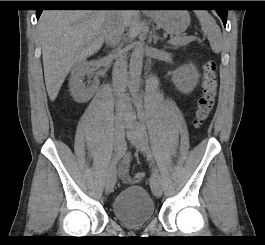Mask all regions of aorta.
<instances>
[{
  "label": "aorta",
  "mask_w": 265,
  "mask_h": 245,
  "mask_svg": "<svg viewBox=\"0 0 265 245\" xmlns=\"http://www.w3.org/2000/svg\"><path fill=\"white\" fill-rule=\"evenodd\" d=\"M144 58V44L142 41L136 42L130 58L129 66V87L133 94L139 91L140 77L142 73Z\"/></svg>",
  "instance_id": "1"
}]
</instances>
